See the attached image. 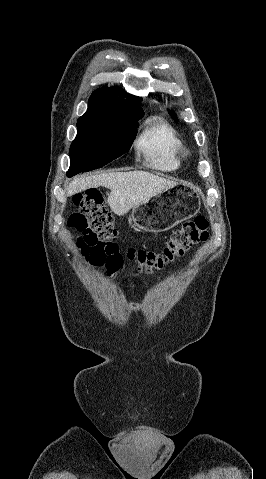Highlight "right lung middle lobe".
I'll return each mask as SVG.
<instances>
[{
	"mask_svg": "<svg viewBox=\"0 0 266 479\" xmlns=\"http://www.w3.org/2000/svg\"><path fill=\"white\" fill-rule=\"evenodd\" d=\"M137 121L78 119L67 176L103 167L126 153L136 136Z\"/></svg>",
	"mask_w": 266,
	"mask_h": 479,
	"instance_id": "obj_1",
	"label": "right lung middle lobe"
}]
</instances>
